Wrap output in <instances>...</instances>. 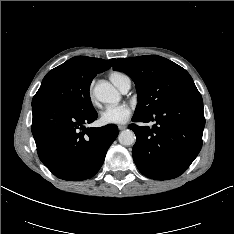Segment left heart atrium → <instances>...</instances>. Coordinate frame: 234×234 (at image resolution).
Instances as JSON below:
<instances>
[{
	"mask_svg": "<svg viewBox=\"0 0 234 234\" xmlns=\"http://www.w3.org/2000/svg\"><path fill=\"white\" fill-rule=\"evenodd\" d=\"M132 115V108L128 104H119L104 109L101 113V121L104 124H124Z\"/></svg>",
	"mask_w": 234,
	"mask_h": 234,
	"instance_id": "obj_1",
	"label": "left heart atrium"
}]
</instances>
